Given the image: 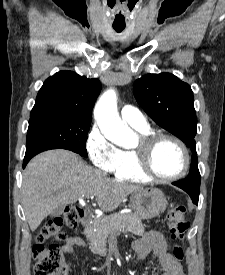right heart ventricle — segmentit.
<instances>
[{"mask_svg": "<svg viewBox=\"0 0 225 275\" xmlns=\"http://www.w3.org/2000/svg\"><path fill=\"white\" fill-rule=\"evenodd\" d=\"M142 135L151 133L150 128H136ZM115 177L131 182H147L150 179L144 176L137 167L135 150L121 151L120 161L113 170Z\"/></svg>", "mask_w": 225, "mask_h": 275, "instance_id": "e07e8e85", "label": "right heart ventricle"}]
</instances>
